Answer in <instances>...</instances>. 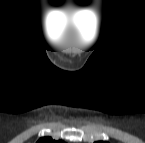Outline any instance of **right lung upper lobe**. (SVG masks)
<instances>
[{
    "label": "right lung upper lobe",
    "mask_w": 145,
    "mask_h": 143,
    "mask_svg": "<svg viewBox=\"0 0 145 143\" xmlns=\"http://www.w3.org/2000/svg\"><path fill=\"white\" fill-rule=\"evenodd\" d=\"M62 141H55L51 137H43L40 138L37 143H60Z\"/></svg>",
    "instance_id": "obj_1"
}]
</instances>
